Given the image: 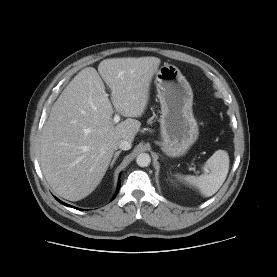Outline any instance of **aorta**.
<instances>
[{"mask_svg": "<svg viewBox=\"0 0 277 277\" xmlns=\"http://www.w3.org/2000/svg\"><path fill=\"white\" fill-rule=\"evenodd\" d=\"M151 162V157L147 153H141L136 158V163L140 167H147Z\"/></svg>", "mask_w": 277, "mask_h": 277, "instance_id": "obj_1", "label": "aorta"}]
</instances>
